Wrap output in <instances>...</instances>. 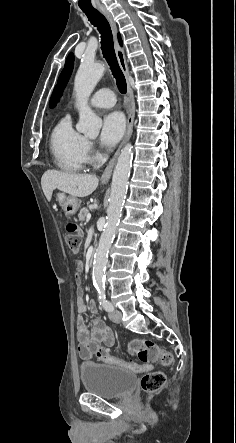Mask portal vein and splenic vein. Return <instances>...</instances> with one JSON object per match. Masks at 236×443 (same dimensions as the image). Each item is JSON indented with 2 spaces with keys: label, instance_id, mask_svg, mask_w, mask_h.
Returning a JSON list of instances; mask_svg holds the SVG:
<instances>
[{
  "label": "portal vein and splenic vein",
  "instance_id": "1",
  "mask_svg": "<svg viewBox=\"0 0 236 443\" xmlns=\"http://www.w3.org/2000/svg\"><path fill=\"white\" fill-rule=\"evenodd\" d=\"M90 218H91V214H88L87 215V220H90Z\"/></svg>",
  "mask_w": 236,
  "mask_h": 443
}]
</instances>
